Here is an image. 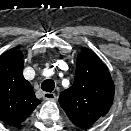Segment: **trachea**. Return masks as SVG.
Returning <instances> with one entry per match:
<instances>
[{
    "instance_id": "trachea-1",
    "label": "trachea",
    "mask_w": 131,
    "mask_h": 131,
    "mask_svg": "<svg viewBox=\"0 0 131 131\" xmlns=\"http://www.w3.org/2000/svg\"><path fill=\"white\" fill-rule=\"evenodd\" d=\"M54 87H55L54 82L49 79L45 80L41 85L42 90L47 91V92L53 91Z\"/></svg>"
}]
</instances>
